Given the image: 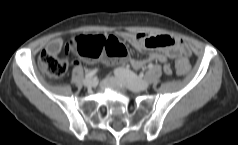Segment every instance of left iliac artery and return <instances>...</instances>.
<instances>
[{
	"label": "left iliac artery",
	"mask_w": 238,
	"mask_h": 145,
	"mask_svg": "<svg viewBox=\"0 0 238 145\" xmlns=\"http://www.w3.org/2000/svg\"><path fill=\"white\" fill-rule=\"evenodd\" d=\"M148 68H149V69H152V68H153V64L150 63V64L148 65Z\"/></svg>",
	"instance_id": "obj_1"
}]
</instances>
